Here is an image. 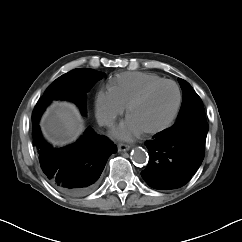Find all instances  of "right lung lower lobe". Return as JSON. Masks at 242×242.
I'll return each instance as SVG.
<instances>
[{"label": "right lung lower lobe", "instance_id": "1", "mask_svg": "<svg viewBox=\"0 0 242 242\" xmlns=\"http://www.w3.org/2000/svg\"><path fill=\"white\" fill-rule=\"evenodd\" d=\"M38 121H32L33 145L49 182L60 192L71 196L91 192L98 184L107 159L117 151L116 146L88 128L74 144L54 148L43 139Z\"/></svg>", "mask_w": 242, "mask_h": 242}]
</instances>
